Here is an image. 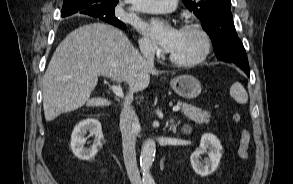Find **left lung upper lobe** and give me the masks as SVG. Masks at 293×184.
I'll return each mask as SVG.
<instances>
[{
  "label": "left lung upper lobe",
  "instance_id": "obj_1",
  "mask_svg": "<svg viewBox=\"0 0 293 184\" xmlns=\"http://www.w3.org/2000/svg\"><path fill=\"white\" fill-rule=\"evenodd\" d=\"M185 6L201 20L210 36L217 57L232 56L223 53L221 45L238 38L232 13L231 0H182Z\"/></svg>",
  "mask_w": 293,
  "mask_h": 184
}]
</instances>
